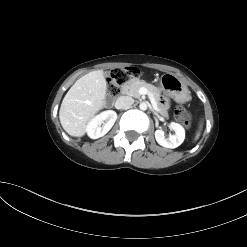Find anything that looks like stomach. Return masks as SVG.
I'll return each instance as SVG.
<instances>
[{"label":"stomach","mask_w":247,"mask_h":247,"mask_svg":"<svg viewBox=\"0 0 247 247\" xmlns=\"http://www.w3.org/2000/svg\"><path fill=\"white\" fill-rule=\"evenodd\" d=\"M160 87L176 102L184 103L189 100L188 87L173 74H163L160 79Z\"/></svg>","instance_id":"obj_1"}]
</instances>
